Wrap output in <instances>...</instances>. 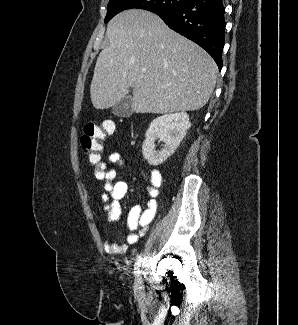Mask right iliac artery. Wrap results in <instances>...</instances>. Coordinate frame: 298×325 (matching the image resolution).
I'll use <instances>...</instances> for the list:
<instances>
[{
    "instance_id": "right-iliac-artery-1",
    "label": "right iliac artery",
    "mask_w": 298,
    "mask_h": 325,
    "mask_svg": "<svg viewBox=\"0 0 298 325\" xmlns=\"http://www.w3.org/2000/svg\"><path fill=\"white\" fill-rule=\"evenodd\" d=\"M141 259H142V256L139 255L137 257V261H136L135 267H134V274H135V276L139 275V273H140V270L139 269H140V265H141Z\"/></svg>"
}]
</instances>
